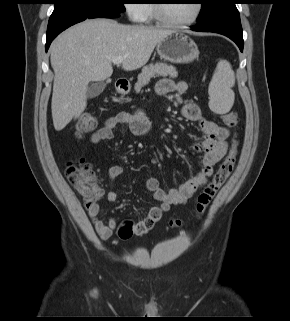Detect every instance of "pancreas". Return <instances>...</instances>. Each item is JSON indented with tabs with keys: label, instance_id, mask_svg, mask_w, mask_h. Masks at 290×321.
<instances>
[{
	"label": "pancreas",
	"instance_id": "obj_1",
	"mask_svg": "<svg viewBox=\"0 0 290 321\" xmlns=\"http://www.w3.org/2000/svg\"><path fill=\"white\" fill-rule=\"evenodd\" d=\"M178 73L176 68L166 63L150 64L142 69V72L138 75V81L135 84V90L140 91L141 88L147 85L151 78L158 76H169L171 78L177 77Z\"/></svg>",
	"mask_w": 290,
	"mask_h": 321
}]
</instances>
